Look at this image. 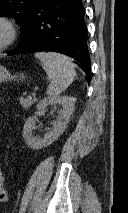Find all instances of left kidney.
<instances>
[{"label":"left kidney","mask_w":128,"mask_h":213,"mask_svg":"<svg viewBox=\"0 0 128 213\" xmlns=\"http://www.w3.org/2000/svg\"><path fill=\"white\" fill-rule=\"evenodd\" d=\"M76 99L71 96H56L47 97L41 100L37 104L38 110H45L48 105H61L62 108L59 111V116L55 122H53V128L51 131L46 132L43 137H34L32 135V130L35 128V119L29 117L23 128V137L25 143L35 150L42 149L50 144H52L58 137L64 132L69 122V118L74 111Z\"/></svg>","instance_id":"1"}]
</instances>
